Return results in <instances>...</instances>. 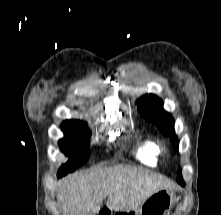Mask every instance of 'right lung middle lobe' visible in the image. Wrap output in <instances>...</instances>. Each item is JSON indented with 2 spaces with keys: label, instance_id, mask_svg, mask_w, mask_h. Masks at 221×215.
Segmentation results:
<instances>
[{
  "label": "right lung middle lobe",
  "instance_id": "dd1d6c3e",
  "mask_svg": "<svg viewBox=\"0 0 221 215\" xmlns=\"http://www.w3.org/2000/svg\"><path fill=\"white\" fill-rule=\"evenodd\" d=\"M64 138L59 141V146L65 155L69 156L66 164L58 171L62 177L77 167L84 164L89 158L90 130L87 124L80 120H66L62 123Z\"/></svg>",
  "mask_w": 221,
  "mask_h": 215
}]
</instances>
